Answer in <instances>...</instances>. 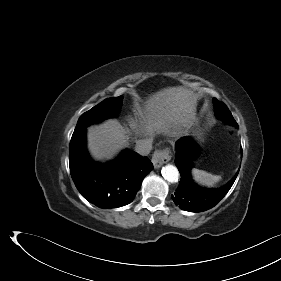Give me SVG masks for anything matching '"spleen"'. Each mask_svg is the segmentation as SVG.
<instances>
[{
    "label": "spleen",
    "mask_w": 281,
    "mask_h": 281,
    "mask_svg": "<svg viewBox=\"0 0 281 281\" xmlns=\"http://www.w3.org/2000/svg\"><path fill=\"white\" fill-rule=\"evenodd\" d=\"M193 179L200 185L212 187L221 180L220 175H214L199 169H192Z\"/></svg>",
    "instance_id": "obj_1"
}]
</instances>
